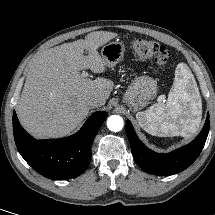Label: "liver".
I'll return each mask as SVG.
<instances>
[{
	"label": "liver",
	"mask_w": 215,
	"mask_h": 215,
	"mask_svg": "<svg viewBox=\"0 0 215 215\" xmlns=\"http://www.w3.org/2000/svg\"><path fill=\"white\" fill-rule=\"evenodd\" d=\"M117 35L91 32L85 39L47 49L32 58L17 106L20 123L30 134L36 138L66 136L87 117L90 97L106 103L113 82L103 77L84 78L79 71L104 73L106 65L97 49Z\"/></svg>",
	"instance_id": "6515ba94"
}]
</instances>
